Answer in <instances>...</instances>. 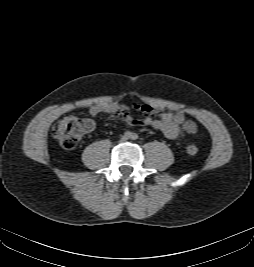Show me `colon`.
<instances>
[{
	"mask_svg": "<svg viewBox=\"0 0 254 267\" xmlns=\"http://www.w3.org/2000/svg\"><path fill=\"white\" fill-rule=\"evenodd\" d=\"M94 127L91 119L77 116H68L56 122L52 127V135L65 149L75 148L82 137ZM189 155H196L198 148L195 144H189L186 148Z\"/></svg>",
	"mask_w": 254,
	"mask_h": 267,
	"instance_id": "5ec220e1",
	"label": "colon"
}]
</instances>
